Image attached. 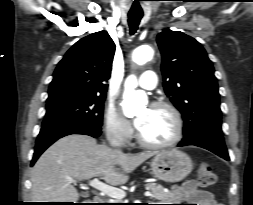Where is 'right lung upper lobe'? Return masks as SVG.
<instances>
[{
  "instance_id": "right-lung-upper-lobe-1",
  "label": "right lung upper lobe",
  "mask_w": 253,
  "mask_h": 205,
  "mask_svg": "<svg viewBox=\"0 0 253 205\" xmlns=\"http://www.w3.org/2000/svg\"><path fill=\"white\" fill-rule=\"evenodd\" d=\"M115 49L105 31L76 42L57 65L47 101L73 95L105 96Z\"/></svg>"
}]
</instances>
